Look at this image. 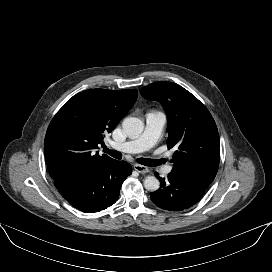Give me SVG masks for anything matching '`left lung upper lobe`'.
Listing matches in <instances>:
<instances>
[{
	"mask_svg": "<svg viewBox=\"0 0 272 272\" xmlns=\"http://www.w3.org/2000/svg\"><path fill=\"white\" fill-rule=\"evenodd\" d=\"M141 95L160 102L168 120V148L175 150L173 172L211 184L220 160L219 134L207 108L189 91L173 82L143 87Z\"/></svg>",
	"mask_w": 272,
	"mask_h": 272,
	"instance_id": "1",
	"label": "left lung upper lobe"
}]
</instances>
